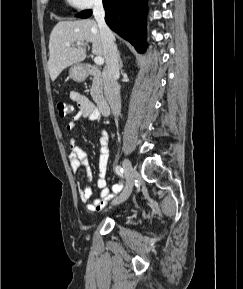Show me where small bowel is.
I'll return each instance as SVG.
<instances>
[{"instance_id": "c3829d8e", "label": "small bowel", "mask_w": 243, "mask_h": 289, "mask_svg": "<svg viewBox=\"0 0 243 289\" xmlns=\"http://www.w3.org/2000/svg\"><path fill=\"white\" fill-rule=\"evenodd\" d=\"M70 97L76 102L78 106V112L73 116L71 121L67 124L66 129L68 131H74L77 128V122L82 119H87L91 122L99 121L101 119L100 114L93 105V103L83 94L72 91ZM98 140L100 144L99 149V176L97 179V187L100 189V196L94 200H91L92 190L89 183L92 180L93 172L89 166L88 159L83 150L77 146L76 140L72 138L69 142L70 153L69 161L71 169L74 173L80 169H84L86 173L87 186L81 187L78 184L79 196L82 202L87 203L86 208L89 212L101 211L107 201L113 197L114 194L118 193L122 189V184L113 185L112 189H109L105 179L108 161H109V134L106 130L100 129L98 132Z\"/></svg>"}]
</instances>
